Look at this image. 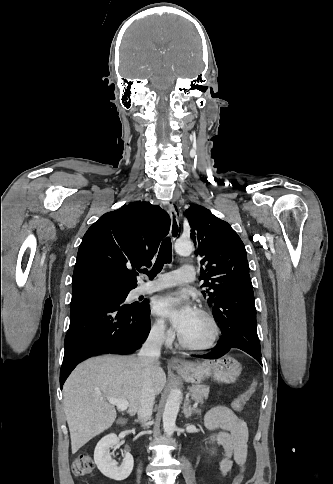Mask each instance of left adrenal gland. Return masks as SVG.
I'll list each match as a JSON object with an SVG mask.
<instances>
[{
	"label": "left adrenal gland",
	"mask_w": 333,
	"mask_h": 484,
	"mask_svg": "<svg viewBox=\"0 0 333 484\" xmlns=\"http://www.w3.org/2000/svg\"><path fill=\"white\" fill-rule=\"evenodd\" d=\"M183 412L186 418L191 417L193 413H197L198 415H201V412L199 409L192 408L189 402H185Z\"/></svg>",
	"instance_id": "obj_1"
}]
</instances>
